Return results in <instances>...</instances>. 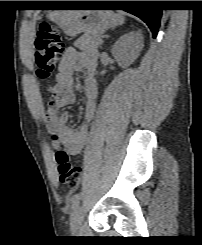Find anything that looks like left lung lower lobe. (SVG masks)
Segmentation results:
<instances>
[{
    "label": "left lung lower lobe",
    "mask_w": 202,
    "mask_h": 245,
    "mask_svg": "<svg viewBox=\"0 0 202 245\" xmlns=\"http://www.w3.org/2000/svg\"><path fill=\"white\" fill-rule=\"evenodd\" d=\"M86 6H117L142 19L155 38L160 25L162 10L148 7L147 1H85Z\"/></svg>",
    "instance_id": "obj_1"
}]
</instances>
